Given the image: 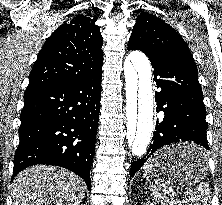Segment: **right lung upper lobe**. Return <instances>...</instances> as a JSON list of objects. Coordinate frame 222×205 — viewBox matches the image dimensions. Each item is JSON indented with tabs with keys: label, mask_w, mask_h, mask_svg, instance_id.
Here are the masks:
<instances>
[{
	"label": "right lung upper lobe",
	"mask_w": 222,
	"mask_h": 205,
	"mask_svg": "<svg viewBox=\"0 0 222 205\" xmlns=\"http://www.w3.org/2000/svg\"><path fill=\"white\" fill-rule=\"evenodd\" d=\"M96 19L78 15L53 32L38 54L27 89L79 81L102 69L103 38Z\"/></svg>",
	"instance_id": "1"
}]
</instances>
